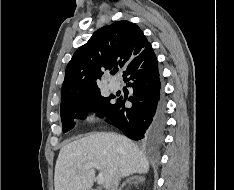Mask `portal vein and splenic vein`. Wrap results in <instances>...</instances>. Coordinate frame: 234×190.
Instances as JSON below:
<instances>
[{
    "label": "portal vein and splenic vein",
    "instance_id": "obj_1",
    "mask_svg": "<svg viewBox=\"0 0 234 190\" xmlns=\"http://www.w3.org/2000/svg\"><path fill=\"white\" fill-rule=\"evenodd\" d=\"M92 168H95V169H100V166L98 163H88L84 166V169L85 170H89V169H92ZM97 181H98V184L99 185H102L105 181L104 179V176L102 173H99L98 176H97Z\"/></svg>",
    "mask_w": 234,
    "mask_h": 190
}]
</instances>
